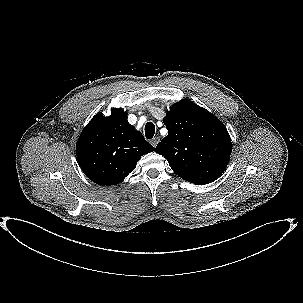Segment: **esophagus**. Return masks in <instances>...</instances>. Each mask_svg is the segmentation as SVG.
Returning a JSON list of instances; mask_svg holds the SVG:
<instances>
[{"label": "esophagus", "instance_id": "esophagus-1", "mask_svg": "<svg viewBox=\"0 0 303 303\" xmlns=\"http://www.w3.org/2000/svg\"><path fill=\"white\" fill-rule=\"evenodd\" d=\"M159 141H160L159 137H154L153 139H151L150 142L153 147H156Z\"/></svg>", "mask_w": 303, "mask_h": 303}]
</instances>
